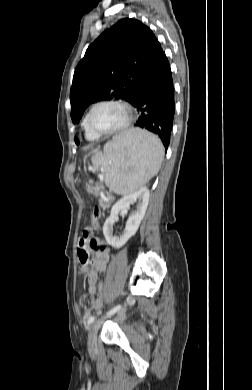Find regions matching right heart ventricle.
<instances>
[{
	"mask_svg": "<svg viewBox=\"0 0 252 390\" xmlns=\"http://www.w3.org/2000/svg\"><path fill=\"white\" fill-rule=\"evenodd\" d=\"M87 116H88V112L86 113L84 119H83V128H84V131H85V136L88 140L90 141H95V140H98L99 139V135L95 134L93 131H91L89 128H88V125H87Z\"/></svg>",
	"mask_w": 252,
	"mask_h": 390,
	"instance_id": "obj_1",
	"label": "right heart ventricle"
}]
</instances>
